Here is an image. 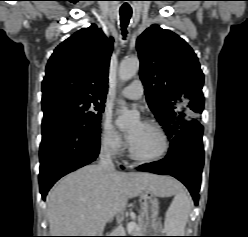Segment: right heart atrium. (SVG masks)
<instances>
[{
    "label": "right heart atrium",
    "instance_id": "1",
    "mask_svg": "<svg viewBox=\"0 0 248 237\" xmlns=\"http://www.w3.org/2000/svg\"><path fill=\"white\" fill-rule=\"evenodd\" d=\"M100 141L102 146L113 154H119L124 147L122 136L113 125L109 115H105L102 120Z\"/></svg>",
    "mask_w": 248,
    "mask_h": 237
}]
</instances>
